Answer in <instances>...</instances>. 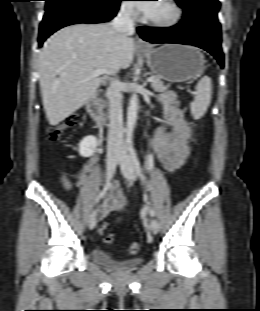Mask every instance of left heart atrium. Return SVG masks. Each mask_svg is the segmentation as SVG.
<instances>
[{
	"mask_svg": "<svg viewBox=\"0 0 260 311\" xmlns=\"http://www.w3.org/2000/svg\"><path fill=\"white\" fill-rule=\"evenodd\" d=\"M148 2H156V1H144L137 5L138 9L147 16H149L153 12L156 6L155 3H148Z\"/></svg>",
	"mask_w": 260,
	"mask_h": 311,
	"instance_id": "left-heart-atrium-1",
	"label": "left heart atrium"
}]
</instances>
